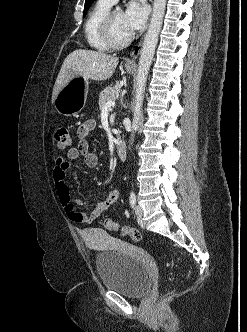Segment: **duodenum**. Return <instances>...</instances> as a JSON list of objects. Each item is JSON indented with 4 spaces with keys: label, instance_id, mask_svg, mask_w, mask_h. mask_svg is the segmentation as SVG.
Listing matches in <instances>:
<instances>
[{
    "label": "duodenum",
    "instance_id": "duodenum-1",
    "mask_svg": "<svg viewBox=\"0 0 247 332\" xmlns=\"http://www.w3.org/2000/svg\"><path fill=\"white\" fill-rule=\"evenodd\" d=\"M117 155L120 159H125L127 155V146L124 142H120L117 145Z\"/></svg>",
    "mask_w": 247,
    "mask_h": 332
}]
</instances>
